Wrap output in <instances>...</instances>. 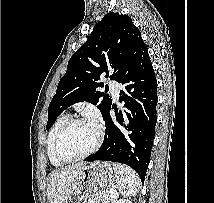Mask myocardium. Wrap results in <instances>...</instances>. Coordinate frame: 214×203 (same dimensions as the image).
<instances>
[{
    "mask_svg": "<svg viewBox=\"0 0 214 203\" xmlns=\"http://www.w3.org/2000/svg\"><path fill=\"white\" fill-rule=\"evenodd\" d=\"M88 120L89 119L84 118V117L70 118L58 131L55 141H54V154L57 157V159L60 160L62 163H73V162L83 160V159L91 156L93 153H95L97 151V149L100 147V145L103 141V138H104V131H103L101 124H99L97 121H93L97 127V139H96L94 145L84 154L74 157V158H66L61 153V150H60L61 141H62L64 134L67 132V130L77 123L85 122Z\"/></svg>",
    "mask_w": 214,
    "mask_h": 203,
    "instance_id": "1",
    "label": "myocardium"
}]
</instances>
